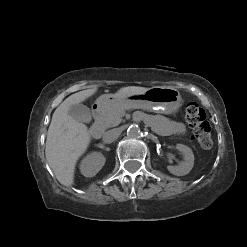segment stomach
Instances as JSON below:
<instances>
[{"label":"stomach","instance_id":"0dacf381","mask_svg":"<svg viewBox=\"0 0 247 247\" xmlns=\"http://www.w3.org/2000/svg\"><path fill=\"white\" fill-rule=\"evenodd\" d=\"M99 111H108L119 106L148 109L163 114L178 112L182 106L180 92L173 87H152L145 93L118 98L114 94L102 95L95 102Z\"/></svg>","mask_w":247,"mask_h":247}]
</instances>
